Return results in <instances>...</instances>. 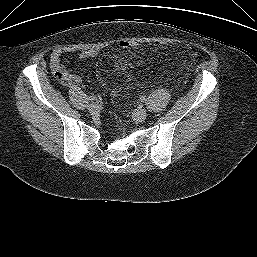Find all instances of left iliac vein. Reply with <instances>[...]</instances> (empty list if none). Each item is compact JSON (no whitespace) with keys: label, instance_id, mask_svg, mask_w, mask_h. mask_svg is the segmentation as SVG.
Wrapping results in <instances>:
<instances>
[{"label":"left iliac vein","instance_id":"1","mask_svg":"<svg viewBox=\"0 0 257 257\" xmlns=\"http://www.w3.org/2000/svg\"><path fill=\"white\" fill-rule=\"evenodd\" d=\"M133 118L137 122H143L147 118V112L144 109H137L133 113Z\"/></svg>","mask_w":257,"mask_h":257}]
</instances>
